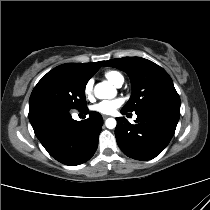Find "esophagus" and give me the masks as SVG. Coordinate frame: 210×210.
Returning <instances> with one entry per match:
<instances>
[{"label":"esophagus","instance_id":"obj_1","mask_svg":"<svg viewBox=\"0 0 210 210\" xmlns=\"http://www.w3.org/2000/svg\"><path fill=\"white\" fill-rule=\"evenodd\" d=\"M108 117H109V116H107V115H102V118H103L104 120H106Z\"/></svg>","mask_w":210,"mask_h":210}]
</instances>
